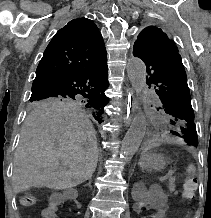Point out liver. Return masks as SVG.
<instances>
[{"label": "liver", "mask_w": 211, "mask_h": 218, "mask_svg": "<svg viewBox=\"0 0 211 218\" xmlns=\"http://www.w3.org/2000/svg\"><path fill=\"white\" fill-rule=\"evenodd\" d=\"M98 146L88 116L73 106H40L27 116L15 154V192L65 190L92 178Z\"/></svg>", "instance_id": "6515ba94"}]
</instances>
